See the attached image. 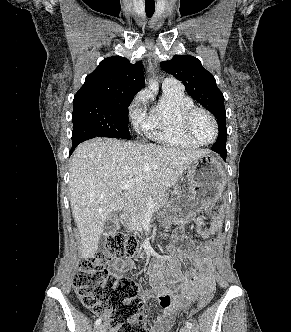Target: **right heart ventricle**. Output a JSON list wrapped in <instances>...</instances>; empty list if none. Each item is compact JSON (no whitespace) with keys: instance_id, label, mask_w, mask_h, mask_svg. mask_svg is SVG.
<instances>
[{"instance_id":"1","label":"right heart ventricle","mask_w":291,"mask_h":332,"mask_svg":"<svg viewBox=\"0 0 291 332\" xmlns=\"http://www.w3.org/2000/svg\"><path fill=\"white\" fill-rule=\"evenodd\" d=\"M193 100L183 90L163 88L162 97L155 102L143 123L145 133L153 140L168 146L197 148L198 144L190 140L181 127V117Z\"/></svg>"}]
</instances>
